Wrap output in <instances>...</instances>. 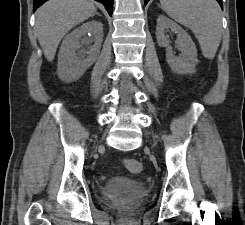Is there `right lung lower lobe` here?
<instances>
[{
    "instance_id": "98d812e1",
    "label": "right lung lower lobe",
    "mask_w": 245,
    "mask_h": 225,
    "mask_svg": "<svg viewBox=\"0 0 245 225\" xmlns=\"http://www.w3.org/2000/svg\"><path fill=\"white\" fill-rule=\"evenodd\" d=\"M47 0H34L33 1V11H35L40 5H42ZM102 4L105 5V8L107 9L108 13L112 15L113 11V0H96Z\"/></svg>"
}]
</instances>
